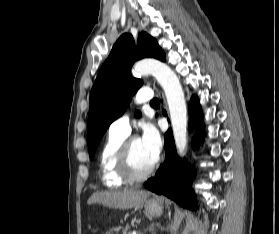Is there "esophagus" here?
I'll return each mask as SVG.
<instances>
[{
  "instance_id": "34e87169",
  "label": "esophagus",
  "mask_w": 279,
  "mask_h": 234,
  "mask_svg": "<svg viewBox=\"0 0 279 234\" xmlns=\"http://www.w3.org/2000/svg\"><path fill=\"white\" fill-rule=\"evenodd\" d=\"M159 94H160V96L163 98L164 96H163V92L160 90L159 91Z\"/></svg>"
}]
</instances>
